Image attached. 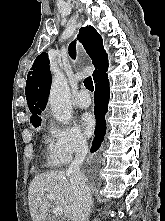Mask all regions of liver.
Returning <instances> with one entry per match:
<instances>
[{
  "mask_svg": "<svg viewBox=\"0 0 165 221\" xmlns=\"http://www.w3.org/2000/svg\"><path fill=\"white\" fill-rule=\"evenodd\" d=\"M51 194L54 205L63 208L64 215L71 218L74 190L70 177L64 171H52L33 178L28 189V205L32 221H46L50 208Z\"/></svg>",
  "mask_w": 165,
  "mask_h": 221,
  "instance_id": "liver-1",
  "label": "liver"
}]
</instances>
